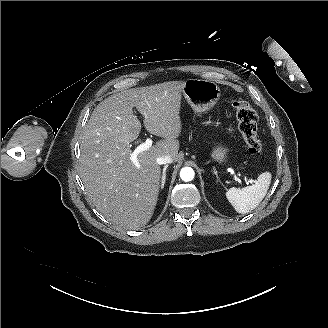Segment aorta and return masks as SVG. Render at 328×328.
<instances>
[{
	"mask_svg": "<svg viewBox=\"0 0 328 328\" xmlns=\"http://www.w3.org/2000/svg\"><path fill=\"white\" fill-rule=\"evenodd\" d=\"M194 170L191 167H184L180 171V178L185 181L189 182L194 179Z\"/></svg>",
	"mask_w": 328,
	"mask_h": 328,
	"instance_id": "762f6f07",
	"label": "aorta"
}]
</instances>
